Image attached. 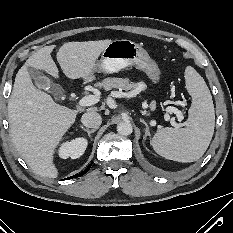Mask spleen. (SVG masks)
I'll return each mask as SVG.
<instances>
[{"label":"spleen","mask_w":233,"mask_h":233,"mask_svg":"<svg viewBox=\"0 0 233 233\" xmlns=\"http://www.w3.org/2000/svg\"><path fill=\"white\" fill-rule=\"evenodd\" d=\"M185 81L192 97L187 127L163 128L155 133L151 145L162 157L187 163L198 160L207 150L214 132L215 112L209 88L191 66L185 69Z\"/></svg>","instance_id":"1"}]
</instances>
